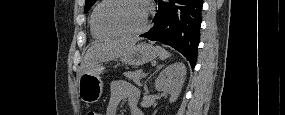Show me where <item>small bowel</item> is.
<instances>
[{"label":"small bowel","instance_id":"1","mask_svg":"<svg viewBox=\"0 0 285 115\" xmlns=\"http://www.w3.org/2000/svg\"><path fill=\"white\" fill-rule=\"evenodd\" d=\"M138 90L129 82L116 80L111 84L110 98L106 108V115H116L119 105L126 101L130 106V115H141L137 107Z\"/></svg>","mask_w":285,"mask_h":115}]
</instances>
